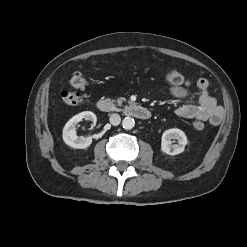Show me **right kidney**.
<instances>
[{
  "label": "right kidney",
  "instance_id": "1",
  "mask_svg": "<svg viewBox=\"0 0 247 247\" xmlns=\"http://www.w3.org/2000/svg\"><path fill=\"white\" fill-rule=\"evenodd\" d=\"M85 120L93 121L94 125L96 124L97 117L91 111H84L75 116H73L63 128V141L72 148L76 149H85L89 147L92 143L91 137H79L77 136L76 126L78 122Z\"/></svg>",
  "mask_w": 247,
  "mask_h": 247
}]
</instances>
